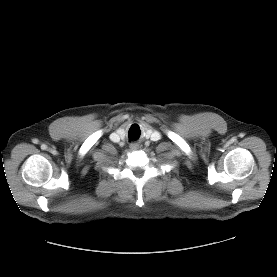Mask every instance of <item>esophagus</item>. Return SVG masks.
<instances>
[{"label": "esophagus", "instance_id": "esophagus-1", "mask_svg": "<svg viewBox=\"0 0 277 277\" xmlns=\"http://www.w3.org/2000/svg\"><path fill=\"white\" fill-rule=\"evenodd\" d=\"M139 148V145L138 144H135V143H132V144H130V149L131 150H137Z\"/></svg>", "mask_w": 277, "mask_h": 277}]
</instances>
